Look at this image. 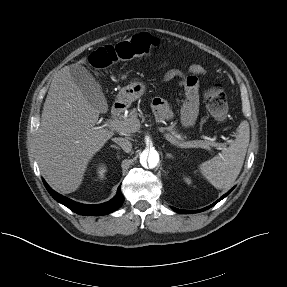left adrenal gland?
Returning <instances> with one entry per match:
<instances>
[{"instance_id":"1","label":"left adrenal gland","mask_w":287,"mask_h":287,"mask_svg":"<svg viewBox=\"0 0 287 287\" xmlns=\"http://www.w3.org/2000/svg\"><path fill=\"white\" fill-rule=\"evenodd\" d=\"M166 158H169V159H170V158H174V157H173V155H172V154L167 153V154H166Z\"/></svg>"}]
</instances>
